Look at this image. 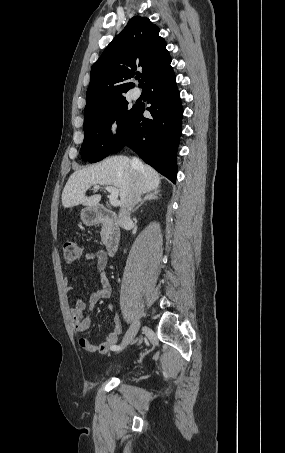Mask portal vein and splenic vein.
Returning a JSON list of instances; mask_svg holds the SVG:
<instances>
[{"instance_id":"1","label":"portal vein and splenic vein","mask_w":285,"mask_h":453,"mask_svg":"<svg viewBox=\"0 0 285 453\" xmlns=\"http://www.w3.org/2000/svg\"><path fill=\"white\" fill-rule=\"evenodd\" d=\"M95 189H99L100 187L98 185H94ZM105 190H107L110 193L109 197V202L112 206H117L120 204V201L118 200L119 196V190L114 187V186H106Z\"/></svg>"}]
</instances>
